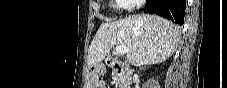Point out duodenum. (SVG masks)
Instances as JSON below:
<instances>
[{"label":"duodenum","instance_id":"duodenum-1","mask_svg":"<svg viewBox=\"0 0 227 88\" xmlns=\"http://www.w3.org/2000/svg\"><path fill=\"white\" fill-rule=\"evenodd\" d=\"M106 65L110 68H118L122 75H129V71L126 68V65L123 61L119 59H108Z\"/></svg>","mask_w":227,"mask_h":88}]
</instances>
